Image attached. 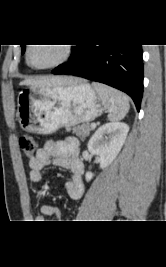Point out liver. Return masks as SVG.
<instances>
[{
    "instance_id": "6515ba94",
    "label": "liver",
    "mask_w": 166,
    "mask_h": 267,
    "mask_svg": "<svg viewBox=\"0 0 166 267\" xmlns=\"http://www.w3.org/2000/svg\"><path fill=\"white\" fill-rule=\"evenodd\" d=\"M78 79L72 77H43L39 79H26L20 82V85L36 86V87H55L66 86L77 83Z\"/></svg>"
}]
</instances>
